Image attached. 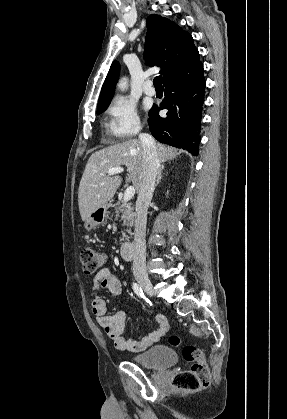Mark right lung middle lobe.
Instances as JSON below:
<instances>
[{"label": "right lung middle lobe", "mask_w": 287, "mask_h": 419, "mask_svg": "<svg viewBox=\"0 0 287 419\" xmlns=\"http://www.w3.org/2000/svg\"><path fill=\"white\" fill-rule=\"evenodd\" d=\"M107 106H108V105L103 106V107H100V108H97V114H100V113H102L103 111H105V110H106V108H107Z\"/></svg>", "instance_id": "obj_1"}]
</instances>
